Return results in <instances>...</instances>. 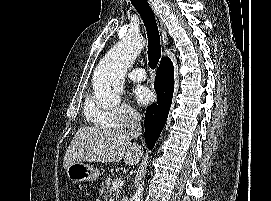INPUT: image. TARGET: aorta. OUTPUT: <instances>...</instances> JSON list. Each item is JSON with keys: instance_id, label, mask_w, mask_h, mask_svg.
<instances>
[{"instance_id": "obj_1", "label": "aorta", "mask_w": 271, "mask_h": 201, "mask_svg": "<svg viewBox=\"0 0 271 201\" xmlns=\"http://www.w3.org/2000/svg\"><path fill=\"white\" fill-rule=\"evenodd\" d=\"M145 45L139 35H127L115 44L103 57L95 71L93 84L96 99L105 105H116L123 96V79ZM144 181L131 201H143Z\"/></svg>"}]
</instances>
